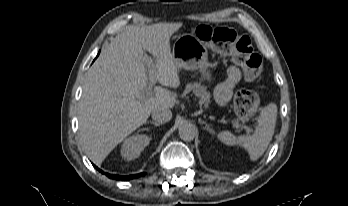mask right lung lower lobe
Here are the masks:
<instances>
[{
    "instance_id": "right-lung-lower-lobe-1",
    "label": "right lung lower lobe",
    "mask_w": 348,
    "mask_h": 206,
    "mask_svg": "<svg viewBox=\"0 0 348 206\" xmlns=\"http://www.w3.org/2000/svg\"><path fill=\"white\" fill-rule=\"evenodd\" d=\"M95 168L97 170H99V172L103 173V174H106L109 178H112V179H117V180H129V179H133V178H136V177H139V176H142L143 173L141 174H136V175H130V176H119V175H112V174H108V173H104L102 170H100L99 168H97L95 166Z\"/></svg>"
}]
</instances>
